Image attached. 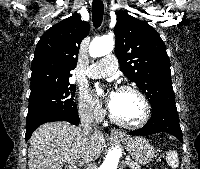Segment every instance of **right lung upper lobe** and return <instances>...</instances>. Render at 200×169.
<instances>
[{"label":"right lung upper lobe","mask_w":200,"mask_h":169,"mask_svg":"<svg viewBox=\"0 0 200 169\" xmlns=\"http://www.w3.org/2000/svg\"><path fill=\"white\" fill-rule=\"evenodd\" d=\"M89 33V23L78 14L49 28L40 38L31 65V87L45 82L69 80L76 67L80 43Z\"/></svg>","instance_id":"obj_1"}]
</instances>
